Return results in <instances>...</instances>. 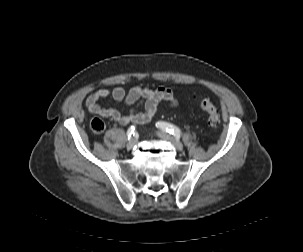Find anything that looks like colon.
Here are the masks:
<instances>
[{
  "label": "colon",
  "instance_id": "1",
  "mask_svg": "<svg viewBox=\"0 0 303 252\" xmlns=\"http://www.w3.org/2000/svg\"><path fill=\"white\" fill-rule=\"evenodd\" d=\"M200 108L208 115L210 124L212 126H216L220 120L219 110L209 99H201L199 101ZM91 130L95 134H100L105 129V123L98 119L94 118L90 124Z\"/></svg>",
  "mask_w": 303,
  "mask_h": 252
}]
</instances>
